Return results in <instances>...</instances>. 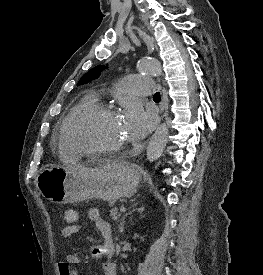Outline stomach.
<instances>
[{
  "mask_svg": "<svg viewBox=\"0 0 263 275\" xmlns=\"http://www.w3.org/2000/svg\"><path fill=\"white\" fill-rule=\"evenodd\" d=\"M139 178L136 170L125 164L107 162L98 167H48L36 178V187L47 200L78 203L98 198L113 204L136 192Z\"/></svg>",
  "mask_w": 263,
  "mask_h": 275,
  "instance_id": "1",
  "label": "stomach"
}]
</instances>
